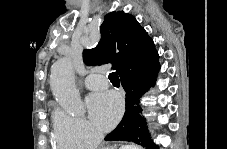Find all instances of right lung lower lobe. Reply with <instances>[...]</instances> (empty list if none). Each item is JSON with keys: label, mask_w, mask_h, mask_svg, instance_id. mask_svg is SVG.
I'll return each instance as SVG.
<instances>
[{"label": "right lung lower lobe", "mask_w": 227, "mask_h": 149, "mask_svg": "<svg viewBox=\"0 0 227 149\" xmlns=\"http://www.w3.org/2000/svg\"><path fill=\"white\" fill-rule=\"evenodd\" d=\"M158 58L126 71L120 76L126 92V111L119 125L105 140L131 141L143 147L155 149L150 139L145 119L141 116L140 98L156 81L160 69Z\"/></svg>", "instance_id": "98d812e1"}]
</instances>
